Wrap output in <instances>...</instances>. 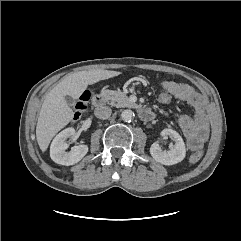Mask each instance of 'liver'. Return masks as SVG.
<instances>
[{
	"mask_svg": "<svg viewBox=\"0 0 241 241\" xmlns=\"http://www.w3.org/2000/svg\"><path fill=\"white\" fill-rule=\"evenodd\" d=\"M120 74L119 71L89 70L63 77L46 95L39 113L36 138L40 149L46 151L52 138L72 120L73 111L65 101L66 95L76 99L88 85Z\"/></svg>",
	"mask_w": 241,
	"mask_h": 241,
	"instance_id": "liver-1",
	"label": "liver"
}]
</instances>
